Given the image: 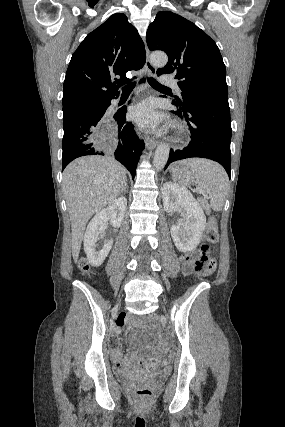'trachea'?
<instances>
[{"instance_id": "3493384b", "label": "trachea", "mask_w": 285, "mask_h": 427, "mask_svg": "<svg viewBox=\"0 0 285 427\" xmlns=\"http://www.w3.org/2000/svg\"><path fill=\"white\" fill-rule=\"evenodd\" d=\"M148 82L150 84L151 87L155 88V89H167L168 87L161 85L159 82H157L154 78H148ZM136 83L135 82H131L129 84H127L126 86H124L123 92L129 91V90H133L135 87Z\"/></svg>"}]
</instances>
